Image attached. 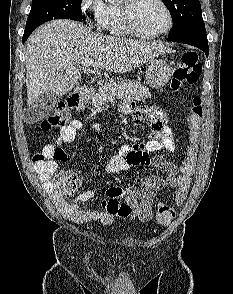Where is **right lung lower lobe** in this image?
<instances>
[{"label":"right lung lower lobe","mask_w":233,"mask_h":294,"mask_svg":"<svg viewBox=\"0 0 233 294\" xmlns=\"http://www.w3.org/2000/svg\"><path fill=\"white\" fill-rule=\"evenodd\" d=\"M32 33V31H25L24 32V36H23V42H25L27 40V38L29 37V35Z\"/></svg>","instance_id":"right-lung-lower-lobe-1"}]
</instances>
